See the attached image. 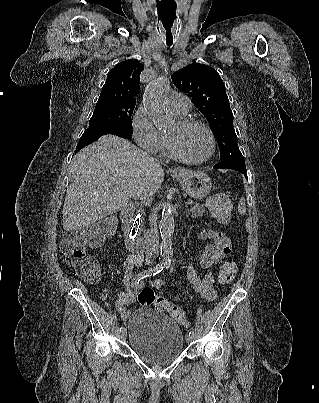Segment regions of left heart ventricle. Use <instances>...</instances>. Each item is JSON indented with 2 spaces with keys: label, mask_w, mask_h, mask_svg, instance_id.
I'll return each instance as SVG.
<instances>
[{
  "label": "left heart ventricle",
  "mask_w": 319,
  "mask_h": 403,
  "mask_svg": "<svg viewBox=\"0 0 319 403\" xmlns=\"http://www.w3.org/2000/svg\"><path fill=\"white\" fill-rule=\"evenodd\" d=\"M176 143L182 155L189 159L204 158L210 150V140L206 131L200 126L181 128L176 121L167 131Z\"/></svg>",
  "instance_id": "b2bd125f"
}]
</instances>
